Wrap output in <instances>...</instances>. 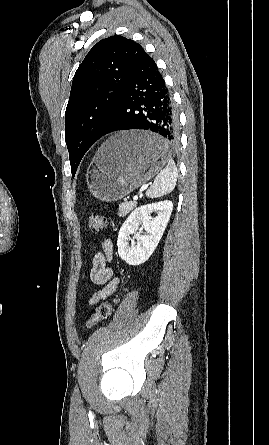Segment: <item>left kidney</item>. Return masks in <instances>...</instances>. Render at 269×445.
<instances>
[{
  "instance_id": "5707ae66",
  "label": "left kidney",
  "mask_w": 269,
  "mask_h": 445,
  "mask_svg": "<svg viewBox=\"0 0 269 445\" xmlns=\"http://www.w3.org/2000/svg\"><path fill=\"white\" fill-rule=\"evenodd\" d=\"M173 204L169 200L143 205L136 208L120 228L117 246L120 258L132 266H137L149 259L156 249L170 219ZM156 213V217L151 214ZM139 225L141 231L137 232ZM135 240L129 244L130 235Z\"/></svg>"
}]
</instances>
